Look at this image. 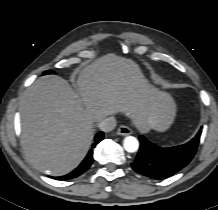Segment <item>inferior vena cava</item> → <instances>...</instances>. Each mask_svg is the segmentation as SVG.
<instances>
[{
    "instance_id": "602c4592",
    "label": "inferior vena cava",
    "mask_w": 218,
    "mask_h": 210,
    "mask_svg": "<svg viewBox=\"0 0 218 210\" xmlns=\"http://www.w3.org/2000/svg\"><path fill=\"white\" fill-rule=\"evenodd\" d=\"M101 131L110 132L116 127V120L114 117H108L98 124Z\"/></svg>"
}]
</instances>
